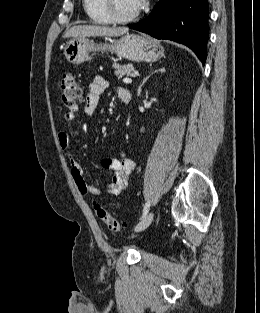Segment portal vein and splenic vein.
Listing matches in <instances>:
<instances>
[{"instance_id":"portal-vein-and-splenic-vein-1","label":"portal vein and splenic vein","mask_w":260,"mask_h":313,"mask_svg":"<svg viewBox=\"0 0 260 313\" xmlns=\"http://www.w3.org/2000/svg\"><path fill=\"white\" fill-rule=\"evenodd\" d=\"M123 82L126 84L132 83V80L130 78L123 79Z\"/></svg>"}]
</instances>
